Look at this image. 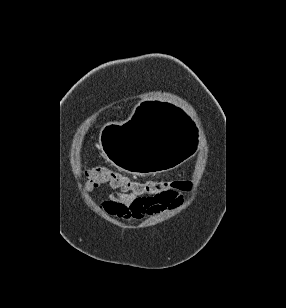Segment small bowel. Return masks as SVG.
Here are the masks:
<instances>
[{
	"instance_id": "obj_1",
	"label": "small bowel",
	"mask_w": 286,
	"mask_h": 308,
	"mask_svg": "<svg viewBox=\"0 0 286 308\" xmlns=\"http://www.w3.org/2000/svg\"><path fill=\"white\" fill-rule=\"evenodd\" d=\"M183 191L171 190L165 196L145 198L132 193L114 194L101 203L109 215L123 220H139L145 214H156L179 207L184 201Z\"/></svg>"
}]
</instances>
